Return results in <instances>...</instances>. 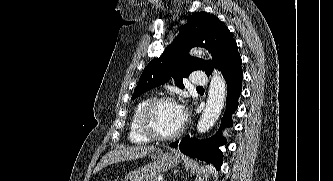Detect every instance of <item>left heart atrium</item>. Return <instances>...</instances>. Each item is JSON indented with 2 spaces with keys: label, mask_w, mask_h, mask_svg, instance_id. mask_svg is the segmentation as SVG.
<instances>
[{
  "label": "left heart atrium",
  "mask_w": 333,
  "mask_h": 181,
  "mask_svg": "<svg viewBox=\"0 0 333 181\" xmlns=\"http://www.w3.org/2000/svg\"><path fill=\"white\" fill-rule=\"evenodd\" d=\"M187 118V113L185 108L182 105H178V119L180 124H184Z\"/></svg>",
  "instance_id": "left-heart-atrium-1"
}]
</instances>
